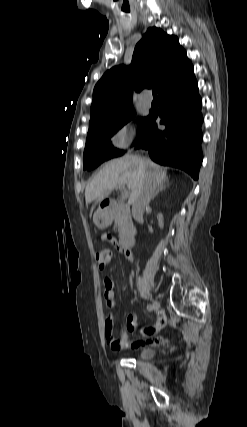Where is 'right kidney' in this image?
Returning a JSON list of instances; mask_svg holds the SVG:
<instances>
[{
	"instance_id": "obj_1",
	"label": "right kidney",
	"mask_w": 247,
	"mask_h": 427,
	"mask_svg": "<svg viewBox=\"0 0 247 427\" xmlns=\"http://www.w3.org/2000/svg\"><path fill=\"white\" fill-rule=\"evenodd\" d=\"M157 219H158L159 227L162 229V228H163V226H164V222H163V215H162L161 213H159V214L157 215Z\"/></svg>"
}]
</instances>
